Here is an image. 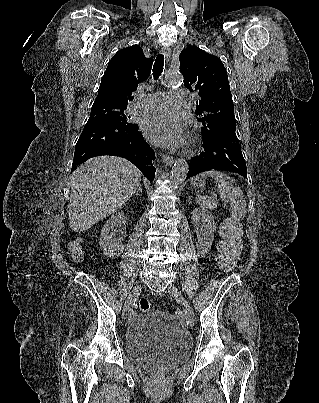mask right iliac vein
Segmentation results:
<instances>
[{
    "instance_id": "1",
    "label": "right iliac vein",
    "mask_w": 319,
    "mask_h": 403,
    "mask_svg": "<svg viewBox=\"0 0 319 403\" xmlns=\"http://www.w3.org/2000/svg\"><path fill=\"white\" fill-rule=\"evenodd\" d=\"M140 291H141V286L137 285L133 288V290L129 294L127 300L125 301L124 307H123L124 318H127L129 313L131 312L132 307L140 294Z\"/></svg>"
}]
</instances>
